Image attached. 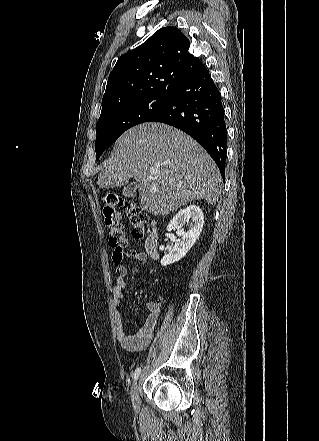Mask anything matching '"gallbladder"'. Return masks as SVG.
Returning a JSON list of instances; mask_svg holds the SVG:
<instances>
[{"label":"gallbladder","instance_id":"bac80fb5","mask_svg":"<svg viewBox=\"0 0 319 441\" xmlns=\"http://www.w3.org/2000/svg\"><path fill=\"white\" fill-rule=\"evenodd\" d=\"M137 191V184L135 182L129 183L123 188V196L132 197Z\"/></svg>","mask_w":319,"mask_h":441}]
</instances>
